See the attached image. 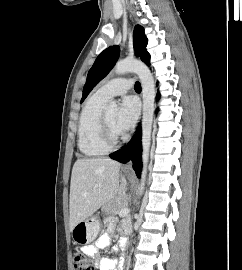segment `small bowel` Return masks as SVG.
<instances>
[{
    "instance_id": "small-bowel-1",
    "label": "small bowel",
    "mask_w": 242,
    "mask_h": 270,
    "mask_svg": "<svg viewBox=\"0 0 242 270\" xmlns=\"http://www.w3.org/2000/svg\"><path fill=\"white\" fill-rule=\"evenodd\" d=\"M114 228V221L109 220L108 229L103 233L93 245L86 246L84 248V253L90 257H96L99 250L108 247L111 243V233ZM129 229L128 221H123L121 225L122 233L127 232ZM125 241H119V246L123 247ZM99 270H122V264L118 261L116 257H103L98 262Z\"/></svg>"
}]
</instances>
